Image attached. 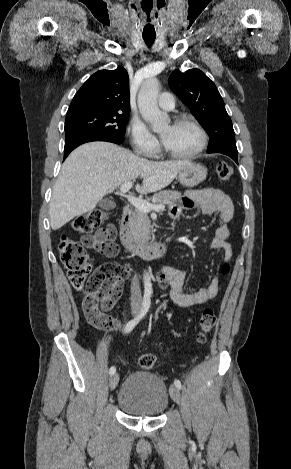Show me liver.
<instances>
[{
	"instance_id": "liver-1",
	"label": "liver",
	"mask_w": 291,
	"mask_h": 469,
	"mask_svg": "<svg viewBox=\"0 0 291 469\" xmlns=\"http://www.w3.org/2000/svg\"><path fill=\"white\" fill-rule=\"evenodd\" d=\"M188 160L155 162L108 142H90L75 149L65 160L50 201V225L57 230L76 216L92 211L118 186L143 178L135 189L140 194L168 186Z\"/></svg>"
}]
</instances>
